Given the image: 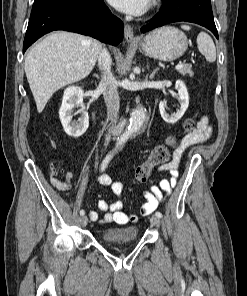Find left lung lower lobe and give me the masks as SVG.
Instances as JSON below:
<instances>
[{
	"label": "left lung lower lobe",
	"instance_id": "1",
	"mask_svg": "<svg viewBox=\"0 0 247 296\" xmlns=\"http://www.w3.org/2000/svg\"><path fill=\"white\" fill-rule=\"evenodd\" d=\"M178 21L202 25L218 38L210 0H163L160 11L154 16L151 23L141 28V32L145 33Z\"/></svg>",
	"mask_w": 247,
	"mask_h": 296
}]
</instances>
